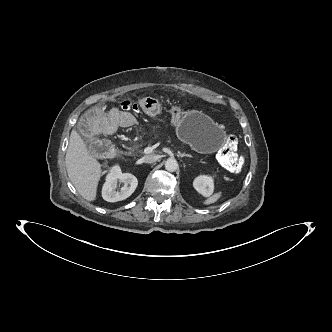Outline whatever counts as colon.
Here are the masks:
<instances>
[{
    "instance_id": "obj_1",
    "label": "colon",
    "mask_w": 332,
    "mask_h": 332,
    "mask_svg": "<svg viewBox=\"0 0 332 332\" xmlns=\"http://www.w3.org/2000/svg\"><path fill=\"white\" fill-rule=\"evenodd\" d=\"M123 110H137L139 103H134L131 100H124L119 104ZM89 150L98 156H107L112 151L111 144L106 140H97L88 144ZM218 161L227 171L238 173L244 163V159L237 152V139L233 135L225 138L222 148L218 153Z\"/></svg>"
}]
</instances>
